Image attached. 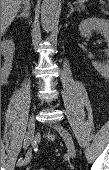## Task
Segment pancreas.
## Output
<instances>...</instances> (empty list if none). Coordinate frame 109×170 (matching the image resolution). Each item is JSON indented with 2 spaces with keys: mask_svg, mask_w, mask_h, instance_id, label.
Masks as SVG:
<instances>
[{
  "mask_svg": "<svg viewBox=\"0 0 109 170\" xmlns=\"http://www.w3.org/2000/svg\"><path fill=\"white\" fill-rule=\"evenodd\" d=\"M103 12L107 13V11L105 9L102 10Z\"/></svg>",
  "mask_w": 109,
  "mask_h": 170,
  "instance_id": "pancreas-1",
  "label": "pancreas"
}]
</instances>
